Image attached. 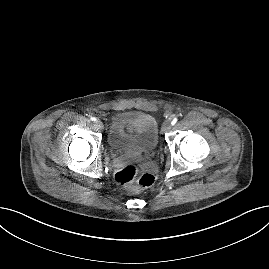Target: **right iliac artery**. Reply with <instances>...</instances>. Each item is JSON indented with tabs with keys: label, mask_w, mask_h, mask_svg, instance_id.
<instances>
[{
	"label": "right iliac artery",
	"mask_w": 269,
	"mask_h": 269,
	"mask_svg": "<svg viewBox=\"0 0 269 269\" xmlns=\"http://www.w3.org/2000/svg\"><path fill=\"white\" fill-rule=\"evenodd\" d=\"M91 121L95 122L96 118L95 117H91Z\"/></svg>",
	"instance_id": "obj_1"
}]
</instances>
